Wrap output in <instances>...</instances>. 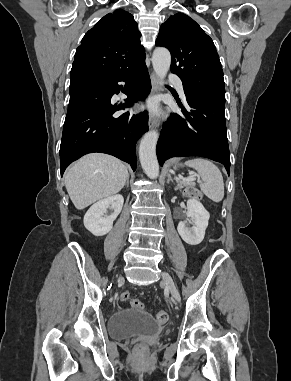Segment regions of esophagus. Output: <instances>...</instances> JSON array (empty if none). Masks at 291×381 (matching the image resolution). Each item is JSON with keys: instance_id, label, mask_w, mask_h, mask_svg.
Wrapping results in <instances>:
<instances>
[{"instance_id": "1", "label": "esophagus", "mask_w": 291, "mask_h": 381, "mask_svg": "<svg viewBox=\"0 0 291 381\" xmlns=\"http://www.w3.org/2000/svg\"><path fill=\"white\" fill-rule=\"evenodd\" d=\"M151 86H152V92L157 93L161 90V85L158 77L155 75V73L151 72ZM149 128H156L159 126V119L157 117L151 116L149 118Z\"/></svg>"}]
</instances>
